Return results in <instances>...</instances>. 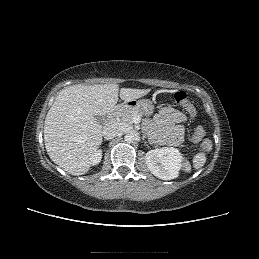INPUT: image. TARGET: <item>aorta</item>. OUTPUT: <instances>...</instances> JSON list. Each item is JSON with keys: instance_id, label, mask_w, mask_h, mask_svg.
Masks as SVG:
<instances>
[{"instance_id": "1", "label": "aorta", "mask_w": 259, "mask_h": 259, "mask_svg": "<svg viewBox=\"0 0 259 259\" xmlns=\"http://www.w3.org/2000/svg\"><path fill=\"white\" fill-rule=\"evenodd\" d=\"M134 140H135V135H134L132 132L127 133V134L125 135V141H126L127 143H132Z\"/></svg>"}]
</instances>
